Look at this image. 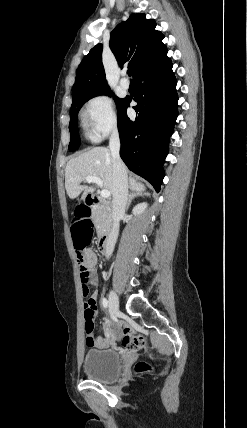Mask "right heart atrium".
I'll return each mask as SVG.
<instances>
[{"instance_id":"obj_1","label":"right heart atrium","mask_w":247,"mask_h":428,"mask_svg":"<svg viewBox=\"0 0 247 428\" xmlns=\"http://www.w3.org/2000/svg\"><path fill=\"white\" fill-rule=\"evenodd\" d=\"M88 135L98 141L115 131L117 128V114L113 100L106 94L91 98L84 110Z\"/></svg>"}]
</instances>
